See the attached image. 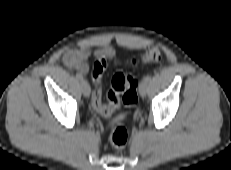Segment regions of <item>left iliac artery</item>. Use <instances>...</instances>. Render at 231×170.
Returning a JSON list of instances; mask_svg holds the SVG:
<instances>
[{"label":"left iliac artery","instance_id":"obj_1","mask_svg":"<svg viewBox=\"0 0 231 170\" xmlns=\"http://www.w3.org/2000/svg\"><path fill=\"white\" fill-rule=\"evenodd\" d=\"M151 77H152V76H151L150 74H148V75L145 76L144 79H145L147 82H149V81L151 80Z\"/></svg>","mask_w":231,"mask_h":170}]
</instances>
